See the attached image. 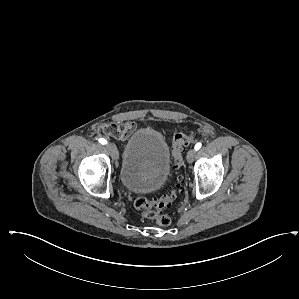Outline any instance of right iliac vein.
<instances>
[{"mask_svg":"<svg viewBox=\"0 0 299 299\" xmlns=\"http://www.w3.org/2000/svg\"><path fill=\"white\" fill-rule=\"evenodd\" d=\"M107 147H108V150L110 151V154H111L112 158L115 161H117L118 157H119V154H118V150H117L116 146L112 143H109Z\"/></svg>","mask_w":299,"mask_h":299,"instance_id":"obj_1","label":"right iliac vein"}]
</instances>
